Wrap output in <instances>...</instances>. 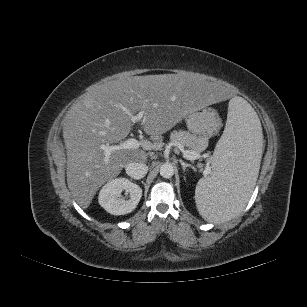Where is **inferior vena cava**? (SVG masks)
<instances>
[{
	"mask_svg": "<svg viewBox=\"0 0 307 307\" xmlns=\"http://www.w3.org/2000/svg\"><path fill=\"white\" fill-rule=\"evenodd\" d=\"M125 168L127 175L136 180L143 178L148 172V166L141 162L129 163Z\"/></svg>",
	"mask_w": 307,
	"mask_h": 307,
	"instance_id": "602c4592",
	"label": "inferior vena cava"
}]
</instances>
